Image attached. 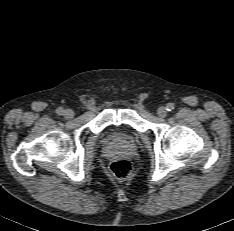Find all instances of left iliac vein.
Listing matches in <instances>:
<instances>
[{"label": "left iliac vein", "instance_id": "left-iliac-vein-1", "mask_svg": "<svg viewBox=\"0 0 234 231\" xmlns=\"http://www.w3.org/2000/svg\"><path fill=\"white\" fill-rule=\"evenodd\" d=\"M166 113H167V112H166V109H165V108H161V109H160V114H161V115L165 116Z\"/></svg>", "mask_w": 234, "mask_h": 231}]
</instances>
